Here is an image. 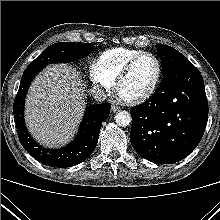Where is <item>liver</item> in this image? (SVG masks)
Masks as SVG:
<instances>
[{"instance_id": "liver-1", "label": "liver", "mask_w": 220, "mask_h": 220, "mask_svg": "<svg viewBox=\"0 0 220 220\" xmlns=\"http://www.w3.org/2000/svg\"><path fill=\"white\" fill-rule=\"evenodd\" d=\"M85 84L65 64L46 67L33 80L25 102V121L33 138L59 147L74 135L85 110Z\"/></svg>"}]
</instances>
